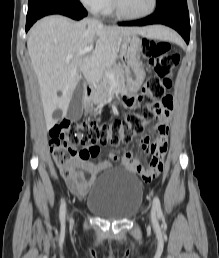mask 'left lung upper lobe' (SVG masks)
<instances>
[{
    "mask_svg": "<svg viewBox=\"0 0 219 258\" xmlns=\"http://www.w3.org/2000/svg\"><path fill=\"white\" fill-rule=\"evenodd\" d=\"M171 3H187L186 0H157L156 10Z\"/></svg>",
    "mask_w": 219,
    "mask_h": 258,
    "instance_id": "5c2ea615",
    "label": "left lung upper lobe"
}]
</instances>
